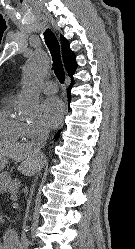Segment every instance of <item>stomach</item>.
I'll return each instance as SVG.
<instances>
[{"label": "stomach", "mask_w": 135, "mask_h": 249, "mask_svg": "<svg viewBox=\"0 0 135 249\" xmlns=\"http://www.w3.org/2000/svg\"><path fill=\"white\" fill-rule=\"evenodd\" d=\"M6 164H7L6 157L0 156V187L4 186V181L5 183H8L10 180L9 177L5 173L2 172ZM4 178L6 179L4 180Z\"/></svg>", "instance_id": "obj_1"}]
</instances>
